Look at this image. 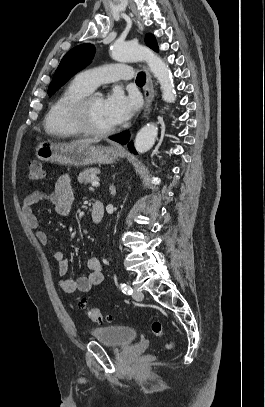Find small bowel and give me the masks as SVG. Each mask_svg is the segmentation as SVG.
I'll use <instances>...</instances> for the list:
<instances>
[{
  "label": "small bowel",
  "mask_w": 265,
  "mask_h": 407,
  "mask_svg": "<svg viewBox=\"0 0 265 407\" xmlns=\"http://www.w3.org/2000/svg\"><path fill=\"white\" fill-rule=\"evenodd\" d=\"M72 181L69 175H61L55 184L53 191L35 190L28 194L22 205V214L27 225L36 232L38 241L46 245L50 239L46 232L40 229L37 216L33 212V206L41 201H48L54 205L56 213L61 217L69 216L73 204ZM53 259L57 263V271L60 276H65L69 263L63 252L55 251ZM88 275L76 280L61 279L60 288L64 293L87 292L92 287L99 285L103 279L102 265L95 257L87 259Z\"/></svg>",
  "instance_id": "c3829d8e"
}]
</instances>
